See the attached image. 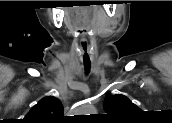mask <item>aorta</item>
Instances as JSON below:
<instances>
[{"mask_svg": "<svg viewBox=\"0 0 172 123\" xmlns=\"http://www.w3.org/2000/svg\"><path fill=\"white\" fill-rule=\"evenodd\" d=\"M84 112L85 113H93V112H95V108L92 105H85Z\"/></svg>", "mask_w": 172, "mask_h": 123, "instance_id": "1", "label": "aorta"}]
</instances>
